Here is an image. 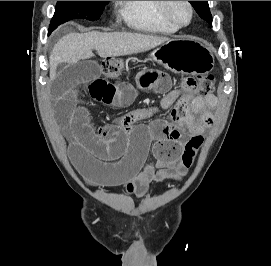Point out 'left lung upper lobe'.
<instances>
[{
	"instance_id": "obj_1",
	"label": "left lung upper lobe",
	"mask_w": 271,
	"mask_h": 266,
	"mask_svg": "<svg viewBox=\"0 0 271 266\" xmlns=\"http://www.w3.org/2000/svg\"><path fill=\"white\" fill-rule=\"evenodd\" d=\"M198 15L206 20L209 24H212V16L209 11L208 1H189Z\"/></svg>"
}]
</instances>
